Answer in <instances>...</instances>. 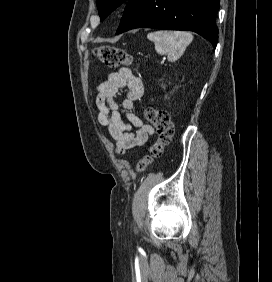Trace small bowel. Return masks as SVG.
<instances>
[{
    "instance_id": "obj_1",
    "label": "small bowel",
    "mask_w": 272,
    "mask_h": 282,
    "mask_svg": "<svg viewBox=\"0 0 272 282\" xmlns=\"http://www.w3.org/2000/svg\"><path fill=\"white\" fill-rule=\"evenodd\" d=\"M97 120L106 127L115 140L117 150L122 153L132 147L144 144L154 132L153 127L144 125L141 119L131 112L135 102L142 96V80L127 68H121L108 75L106 81L97 86ZM125 89V98L119 104L116 94ZM127 119L124 122L123 118ZM136 131L133 133L132 129Z\"/></svg>"
}]
</instances>
